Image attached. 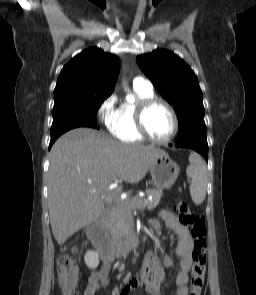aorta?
<instances>
[{
  "instance_id": "obj_1",
  "label": "aorta",
  "mask_w": 256,
  "mask_h": 295,
  "mask_svg": "<svg viewBox=\"0 0 256 295\" xmlns=\"http://www.w3.org/2000/svg\"><path fill=\"white\" fill-rule=\"evenodd\" d=\"M126 100H127V102H129V103H133V102H135V97H134L133 94L128 93L127 96H126Z\"/></svg>"
}]
</instances>
